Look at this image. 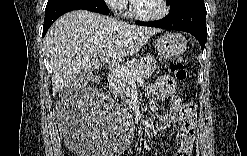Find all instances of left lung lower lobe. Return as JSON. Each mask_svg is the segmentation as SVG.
<instances>
[{
	"instance_id": "1",
	"label": "left lung lower lobe",
	"mask_w": 247,
	"mask_h": 156,
	"mask_svg": "<svg viewBox=\"0 0 247 156\" xmlns=\"http://www.w3.org/2000/svg\"><path fill=\"white\" fill-rule=\"evenodd\" d=\"M135 24L188 32L199 41L202 51L207 40L206 8L203 0H187L180 9L169 12L160 21H136Z\"/></svg>"
}]
</instances>
